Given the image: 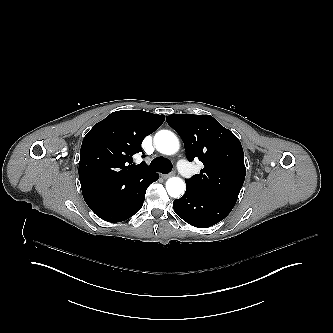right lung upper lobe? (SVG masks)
Instances as JSON below:
<instances>
[{
	"instance_id": "obj_1",
	"label": "right lung upper lobe",
	"mask_w": 333,
	"mask_h": 333,
	"mask_svg": "<svg viewBox=\"0 0 333 333\" xmlns=\"http://www.w3.org/2000/svg\"><path fill=\"white\" fill-rule=\"evenodd\" d=\"M164 115L141 110L115 111L98 122L84 137L79 162L82 191L93 185L123 182L150 170L132 156L142 152L141 143L162 125Z\"/></svg>"
}]
</instances>
